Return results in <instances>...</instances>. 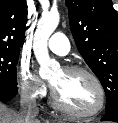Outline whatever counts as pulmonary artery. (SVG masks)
I'll list each match as a JSON object with an SVG mask.
<instances>
[{
  "mask_svg": "<svg viewBox=\"0 0 118 123\" xmlns=\"http://www.w3.org/2000/svg\"><path fill=\"white\" fill-rule=\"evenodd\" d=\"M48 47L55 54L65 56L70 50V43L63 33L57 32L49 39Z\"/></svg>",
  "mask_w": 118,
  "mask_h": 123,
  "instance_id": "obj_1",
  "label": "pulmonary artery"
}]
</instances>
